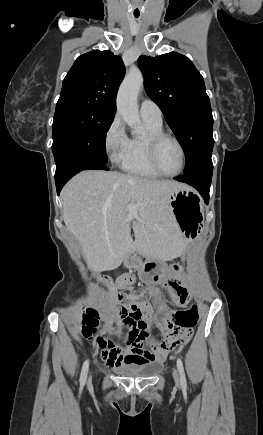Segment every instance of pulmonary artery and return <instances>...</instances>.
I'll return each mask as SVG.
<instances>
[{
    "instance_id": "pulmonary-artery-1",
    "label": "pulmonary artery",
    "mask_w": 263,
    "mask_h": 435,
    "mask_svg": "<svg viewBox=\"0 0 263 435\" xmlns=\"http://www.w3.org/2000/svg\"><path fill=\"white\" fill-rule=\"evenodd\" d=\"M140 114L142 118H147L155 122H162V112L159 106L150 99H144L140 105Z\"/></svg>"
}]
</instances>
